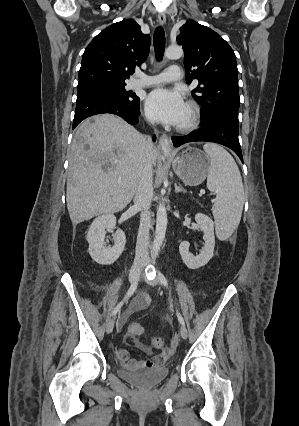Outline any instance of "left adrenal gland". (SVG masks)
I'll return each mask as SVG.
<instances>
[{
  "mask_svg": "<svg viewBox=\"0 0 299 426\" xmlns=\"http://www.w3.org/2000/svg\"><path fill=\"white\" fill-rule=\"evenodd\" d=\"M175 192L176 193H180V192L186 193V190L181 185L175 184Z\"/></svg>",
  "mask_w": 299,
  "mask_h": 426,
  "instance_id": "left-adrenal-gland-1",
  "label": "left adrenal gland"
}]
</instances>
